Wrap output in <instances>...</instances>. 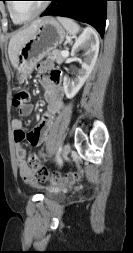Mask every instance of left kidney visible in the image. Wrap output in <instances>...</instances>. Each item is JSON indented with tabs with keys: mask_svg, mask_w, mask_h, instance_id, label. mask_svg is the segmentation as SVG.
Listing matches in <instances>:
<instances>
[{
	"mask_svg": "<svg viewBox=\"0 0 133 253\" xmlns=\"http://www.w3.org/2000/svg\"><path fill=\"white\" fill-rule=\"evenodd\" d=\"M80 50H84L85 54L84 61L81 62V69L78 71L77 77L74 80L64 77L63 80L64 92L69 99L73 98L78 93L96 63L99 52V38L93 29L86 28L76 39L72 47L71 55L74 57Z\"/></svg>",
	"mask_w": 133,
	"mask_h": 253,
	"instance_id": "5707ae66",
	"label": "left kidney"
}]
</instances>
